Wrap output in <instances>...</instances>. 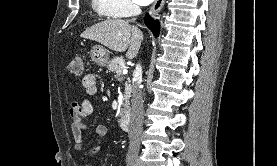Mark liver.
Segmentation results:
<instances>
[{
  "label": "liver",
  "instance_id": "liver-1",
  "mask_svg": "<svg viewBox=\"0 0 277 166\" xmlns=\"http://www.w3.org/2000/svg\"><path fill=\"white\" fill-rule=\"evenodd\" d=\"M82 38L96 41L116 52H126L128 59H133L141 46L143 33L128 21L107 19L86 29Z\"/></svg>",
  "mask_w": 277,
  "mask_h": 166
}]
</instances>
